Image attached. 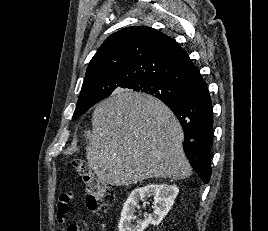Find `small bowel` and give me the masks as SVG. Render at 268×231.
Returning <instances> with one entry per match:
<instances>
[{"label":"small bowel","mask_w":268,"mask_h":231,"mask_svg":"<svg viewBox=\"0 0 268 231\" xmlns=\"http://www.w3.org/2000/svg\"><path fill=\"white\" fill-rule=\"evenodd\" d=\"M71 195L63 194L59 198L58 209L56 214V221L58 224L66 228V231H80L78 224L69 221V202L71 200Z\"/></svg>","instance_id":"obj_1"}]
</instances>
